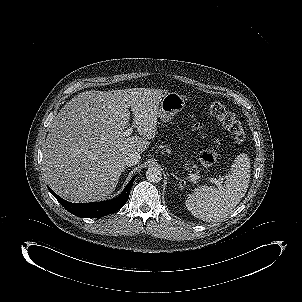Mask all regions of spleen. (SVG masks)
Returning <instances> with one entry per match:
<instances>
[{
    "mask_svg": "<svg viewBox=\"0 0 302 302\" xmlns=\"http://www.w3.org/2000/svg\"><path fill=\"white\" fill-rule=\"evenodd\" d=\"M250 162L245 154L236 157L224 184L201 186L185 201L187 209L206 222L216 221L228 215L239 204L249 186Z\"/></svg>",
    "mask_w": 302,
    "mask_h": 302,
    "instance_id": "spleen-1",
    "label": "spleen"
}]
</instances>
